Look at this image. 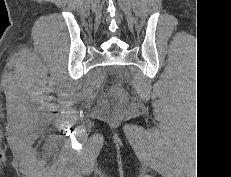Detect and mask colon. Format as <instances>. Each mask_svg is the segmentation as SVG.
<instances>
[{
	"mask_svg": "<svg viewBox=\"0 0 231 177\" xmlns=\"http://www.w3.org/2000/svg\"><path fill=\"white\" fill-rule=\"evenodd\" d=\"M114 93L118 96V97H124L126 95L125 91L121 88H115L114 89Z\"/></svg>",
	"mask_w": 231,
	"mask_h": 177,
	"instance_id": "colon-1",
	"label": "colon"
}]
</instances>
